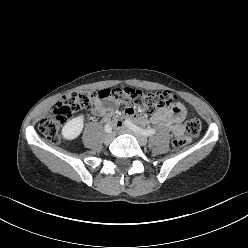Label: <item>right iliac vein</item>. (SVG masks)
Wrapping results in <instances>:
<instances>
[{
	"instance_id": "right-iliac-vein-1",
	"label": "right iliac vein",
	"mask_w": 248,
	"mask_h": 248,
	"mask_svg": "<svg viewBox=\"0 0 248 248\" xmlns=\"http://www.w3.org/2000/svg\"><path fill=\"white\" fill-rule=\"evenodd\" d=\"M114 139V134L113 133H109L104 137V142L106 144H109L112 140Z\"/></svg>"
}]
</instances>
